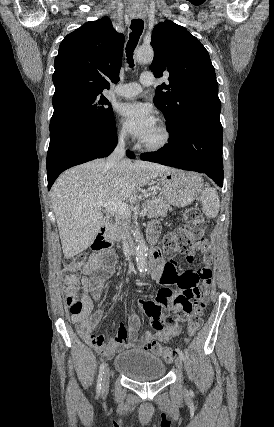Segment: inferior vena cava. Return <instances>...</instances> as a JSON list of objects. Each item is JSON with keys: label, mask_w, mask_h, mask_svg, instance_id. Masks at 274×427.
<instances>
[{"label": "inferior vena cava", "mask_w": 274, "mask_h": 427, "mask_svg": "<svg viewBox=\"0 0 274 427\" xmlns=\"http://www.w3.org/2000/svg\"><path fill=\"white\" fill-rule=\"evenodd\" d=\"M124 156H125L124 136H120L114 152H112V154H110V156H108L107 158L105 168H113V166L117 168L118 162H120V160H122Z\"/></svg>", "instance_id": "inferior-vena-cava-1"}]
</instances>
